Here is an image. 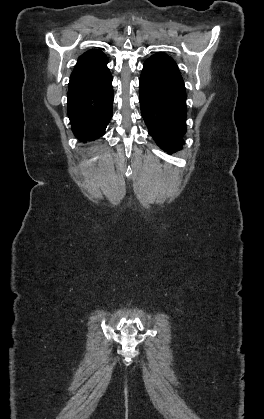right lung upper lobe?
Masks as SVG:
<instances>
[{
	"label": "right lung upper lobe",
	"mask_w": 264,
	"mask_h": 419,
	"mask_svg": "<svg viewBox=\"0 0 264 419\" xmlns=\"http://www.w3.org/2000/svg\"><path fill=\"white\" fill-rule=\"evenodd\" d=\"M107 57L100 50H89L81 55L71 74L69 86L92 84L108 72Z\"/></svg>",
	"instance_id": "right-lung-upper-lobe-1"
}]
</instances>
